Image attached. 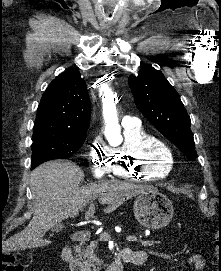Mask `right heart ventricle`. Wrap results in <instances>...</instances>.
Segmentation results:
<instances>
[{"label":"right heart ventricle","mask_w":221,"mask_h":271,"mask_svg":"<svg viewBox=\"0 0 221 271\" xmlns=\"http://www.w3.org/2000/svg\"><path fill=\"white\" fill-rule=\"evenodd\" d=\"M157 142L165 141L160 136L147 131L124 139L120 147L121 159H124L109 164L110 171L114 176H119V179H137L138 183L140 181L143 183L144 179L152 181L155 177L170 179L173 175V167L176 165V158H166L165 153L169 152V147L165 144H156ZM153 149H160V154H156V158H152ZM144 150H152V155H144L142 153ZM126 158H129V161Z\"/></svg>","instance_id":"1"}]
</instances>
